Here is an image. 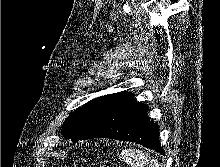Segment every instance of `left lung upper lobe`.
<instances>
[{"label": "left lung upper lobe", "mask_w": 220, "mask_h": 167, "mask_svg": "<svg viewBox=\"0 0 220 167\" xmlns=\"http://www.w3.org/2000/svg\"><path fill=\"white\" fill-rule=\"evenodd\" d=\"M119 94L115 93L97 97L76 109L63 124V136L72 141L79 140Z\"/></svg>", "instance_id": "1"}]
</instances>
